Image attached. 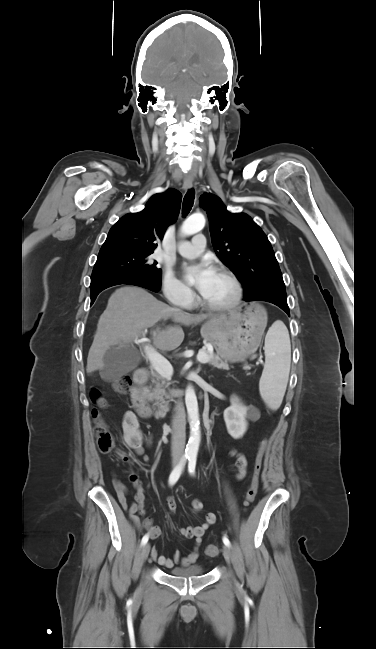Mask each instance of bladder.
<instances>
[{
    "mask_svg": "<svg viewBox=\"0 0 376 649\" xmlns=\"http://www.w3.org/2000/svg\"><path fill=\"white\" fill-rule=\"evenodd\" d=\"M204 572L205 569L202 565L194 564L187 567L174 568L170 574L177 577L189 578L201 576Z\"/></svg>",
    "mask_w": 376,
    "mask_h": 649,
    "instance_id": "31cf9c89",
    "label": "bladder"
}]
</instances>
